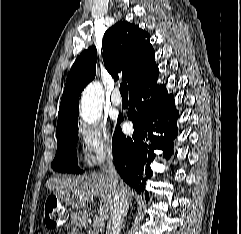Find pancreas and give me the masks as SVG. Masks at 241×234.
<instances>
[{
	"label": "pancreas",
	"instance_id": "cf45deb5",
	"mask_svg": "<svg viewBox=\"0 0 241 234\" xmlns=\"http://www.w3.org/2000/svg\"><path fill=\"white\" fill-rule=\"evenodd\" d=\"M87 234H98V231L96 228H90L88 231H87Z\"/></svg>",
	"mask_w": 241,
	"mask_h": 234
}]
</instances>
